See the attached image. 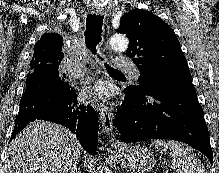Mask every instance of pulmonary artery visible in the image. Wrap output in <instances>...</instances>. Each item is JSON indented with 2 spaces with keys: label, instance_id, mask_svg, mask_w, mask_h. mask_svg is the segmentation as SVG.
Segmentation results:
<instances>
[{
  "label": "pulmonary artery",
  "instance_id": "pulmonary-artery-1",
  "mask_svg": "<svg viewBox=\"0 0 219 173\" xmlns=\"http://www.w3.org/2000/svg\"><path fill=\"white\" fill-rule=\"evenodd\" d=\"M115 69L128 72L132 79L138 80L140 79L141 73L139 69L128 59L126 58H117L115 59ZM74 76H82L84 74V69L82 68H74L73 69Z\"/></svg>",
  "mask_w": 219,
  "mask_h": 173
}]
</instances>
